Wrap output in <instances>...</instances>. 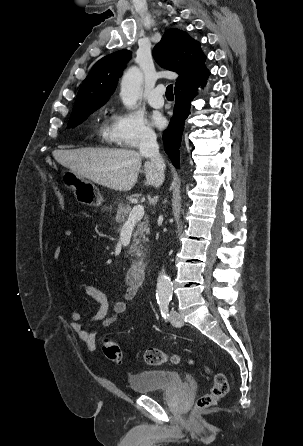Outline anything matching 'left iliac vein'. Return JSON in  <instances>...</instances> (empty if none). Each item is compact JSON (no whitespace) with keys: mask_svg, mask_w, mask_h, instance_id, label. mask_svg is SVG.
Masks as SVG:
<instances>
[{"mask_svg":"<svg viewBox=\"0 0 303 446\" xmlns=\"http://www.w3.org/2000/svg\"><path fill=\"white\" fill-rule=\"evenodd\" d=\"M170 321L176 327H181L184 324L181 315L176 310L170 311Z\"/></svg>","mask_w":303,"mask_h":446,"instance_id":"obj_1","label":"left iliac vein"}]
</instances>
